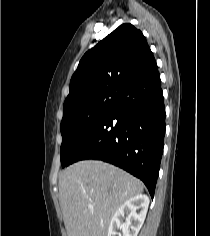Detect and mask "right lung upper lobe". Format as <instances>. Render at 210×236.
Here are the masks:
<instances>
[{
  "label": "right lung upper lobe",
  "mask_w": 210,
  "mask_h": 236,
  "mask_svg": "<svg viewBox=\"0 0 210 236\" xmlns=\"http://www.w3.org/2000/svg\"><path fill=\"white\" fill-rule=\"evenodd\" d=\"M157 68L142 32L123 24L87 51L70 81L64 112L90 97L119 92Z\"/></svg>",
  "instance_id": "1"
}]
</instances>
